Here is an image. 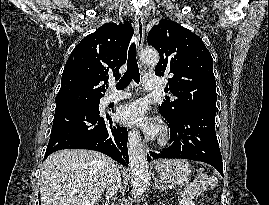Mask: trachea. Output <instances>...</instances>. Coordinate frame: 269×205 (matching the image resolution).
<instances>
[{
	"label": "trachea",
	"instance_id": "trachea-1",
	"mask_svg": "<svg viewBox=\"0 0 269 205\" xmlns=\"http://www.w3.org/2000/svg\"><path fill=\"white\" fill-rule=\"evenodd\" d=\"M134 80L137 84L140 81V73L136 60V46L133 42L128 51V61H127V70L123 77L119 80L116 85L118 90L125 89L130 82Z\"/></svg>",
	"mask_w": 269,
	"mask_h": 205
}]
</instances>
